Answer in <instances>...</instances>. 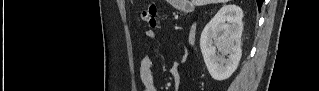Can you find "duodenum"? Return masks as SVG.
Masks as SVG:
<instances>
[{
    "instance_id": "410a0bca",
    "label": "duodenum",
    "mask_w": 319,
    "mask_h": 91,
    "mask_svg": "<svg viewBox=\"0 0 319 91\" xmlns=\"http://www.w3.org/2000/svg\"><path fill=\"white\" fill-rule=\"evenodd\" d=\"M196 33H197V27H196V24H193L191 26L190 33H189V42L191 44L195 41Z\"/></svg>"
}]
</instances>
